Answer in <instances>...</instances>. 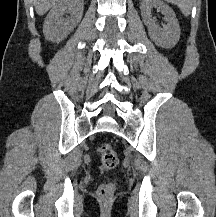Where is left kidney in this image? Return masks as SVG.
I'll use <instances>...</instances> for the list:
<instances>
[{
	"label": "left kidney",
	"mask_w": 216,
	"mask_h": 217,
	"mask_svg": "<svg viewBox=\"0 0 216 217\" xmlns=\"http://www.w3.org/2000/svg\"><path fill=\"white\" fill-rule=\"evenodd\" d=\"M152 8H156L164 15L166 25H163V28L152 18ZM140 9L151 40L162 48L174 47L180 38V27L174 11L160 0H141Z\"/></svg>",
	"instance_id": "1"
}]
</instances>
